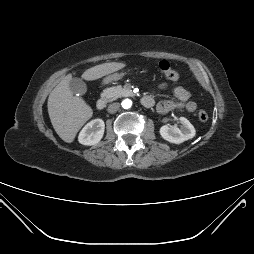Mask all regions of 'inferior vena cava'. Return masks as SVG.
<instances>
[{"mask_svg": "<svg viewBox=\"0 0 254 254\" xmlns=\"http://www.w3.org/2000/svg\"><path fill=\"white\" fill-rule=\"evenodd\" d=\"M120 107V104L115 102V103H111L109 104L108 108H107V111L110 113V114H113L115 113Z\"/></svg>", "mask_w": 254, "mask_h": 254, "instance_id": "1", "label": "inferior vena cava"}]
</instances>
